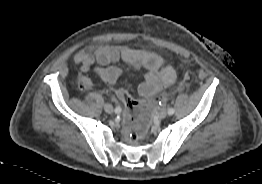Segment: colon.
I'll use <instances>...</instances> for the list:
<instances>
[{"mask_svg":"<svg viewBox=\"0 0 262 184\" xmlns=\"http://www.w3.org/2000/svg\"><path fill=\"white\" fill-rule=\"evenodd\" d=\"M116 95L126 107L127 126L131 132V139L137 141L147 131L150 120V110L161 103L165 96H157L140 103L132 99L129 93L123 88L117 89Z\"/></svg>","mask_w":262,"mask_h":184,"instance_id":"colon-1","label":"colon"}]
</instances>
